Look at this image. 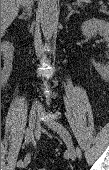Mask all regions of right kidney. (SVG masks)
<instances>
[{
    "label": "right kidney",
    "instance_id": "right-kidney-1",
    "mask_svg": "<svg viewBox=\"0 0 109 170\" xmlns=\"http://www.w3.org/2000/svg\"><path fill=\"white\" fill-rule=\"evenodd\" d=\"M2 51L5 56V63L1 75H2V81L5 82L9 78L10 72L12 71V61H13V52H14L13 44L9 42H3Z\"/></svg>",
    "mask_w": 109,
    "mask_h": 170
}]
</instances>
